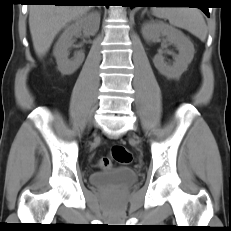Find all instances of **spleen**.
I'll use <instances>...</instances> for the list:
<instances>
[{
  "label": "spleen",
  "mask_w": 231,
  "mask_h": 231,
  "mask_svg": "<svg viewBox=\"0 0 231 231\" xmlns=\"http://www.w3.org/2000/svg\"><path fill=\"white\" fill-rule=\"evenodd\" d=\"M152 12L156 17L168 19L171 25L185 29L201 41H205L207 26L199 9L189 7H154Z\"/></svg>",
  "instance_id": "obj_1"
}]
</instances>
